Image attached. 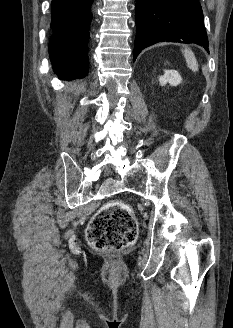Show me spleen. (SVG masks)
<instances>
[{"label":"spleen","instance_id":"1","mask_svg":"<svg viewBox=\"0 0 233 328\" xmlns=\"http://www.w3.org/2000/svg\"><path fill=\"white\" fill-rule=\"evenodd\" d=\"M182 53L185 57L188 68L193 72H197L198 62L192 50L189 48H185L184 50H182Z\"/></svg>","mask_w":233,"mask_h":328}]
</instances>
